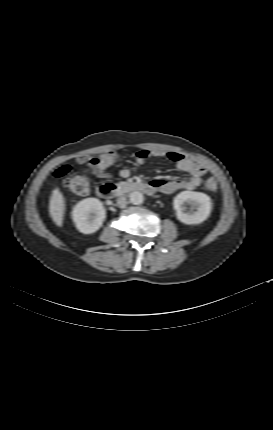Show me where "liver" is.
<instances>
[{"mask_svg": "<svg viewBox=\"0 0 273 430\" xmlns=\"http://www.w3.org/2000/svg\"><path fill=\"white\" fill-rule=\"evenodd\" d=\"M49 212L55 224L61 227L65 214V201L58 188L54 189L52 192L49 202Z\"/></svg>", "mask_w": 273, "mask_h": 430, "instance_id": "1", "label": "liver"}]
</instances>
